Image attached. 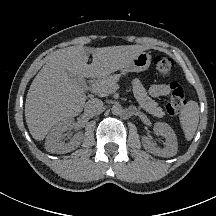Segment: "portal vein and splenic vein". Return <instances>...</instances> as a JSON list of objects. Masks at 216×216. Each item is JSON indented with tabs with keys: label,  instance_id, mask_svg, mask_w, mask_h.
Segmentation results:
<instances>
[{
	"label": "portal vein and splenic vein",
	"instance_id": "portal-vein-and-splenic-vein-1",
	"mask_svg": "<svg viewBox=\"0 0 216 216\" xmlns=\"http://www.w3.org/2000/svg\"><path fill=\"white\" fill-rule=\"evenodd\" d=\"M117 88H118V86H115V89H117ZM100 91H101V90H100L99 88H96V89L93 88V92H95V93H96V92H100Z\"/></svg>",
	"mask_w": 216,
	"mask_h": 216
}]
</instances>
